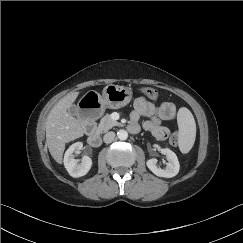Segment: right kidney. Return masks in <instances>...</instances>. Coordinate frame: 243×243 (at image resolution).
<instances>
[{
	"mask_svg": "<svg viewBox=\"0 0 243 243\" xmlns=\"http://www.w3.org/2000/svg\"><path fill=\"white\" fill-rule=\"evenodd\" d=\"M82 147V142H76L67 149L64 155V166L68 173L75 178L86 175L92 167V159L89 156H83L81 163L74 159V151L81 150Z\"/></svg>",
	"mask_w": 243,
	"mask_h": 243,
	"instance_id": "right-kidney-1",
	"label": "right kidney"
}]
</instances>
